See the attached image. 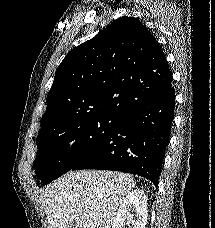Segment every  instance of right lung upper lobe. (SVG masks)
I'll return each mask as SVG.
<instances>
[{
	"instance_id": "cb5924a9",
	"label": "right lung upper lobe",
	"mask_w": 215,
	"mask_h": 228,
	"mask_svg": "<svg viewBox=\"0 0 215 228\" xmlns=\"http://www.w3.org/2000/svg\"><path fill=\"white\" fill-rule=\"evenodd\" d=\"M148 28L123 16L70 51L55 73L41 130L98 114L122 115L160 95L171 77Z\"/></svg>"
}]
</instances>
